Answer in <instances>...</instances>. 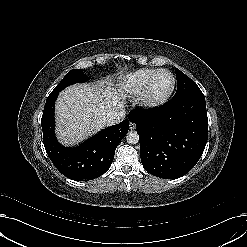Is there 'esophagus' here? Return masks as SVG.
<instances>
[{
  "instance_id": "1",
  "label": "esophagus",
  "mask_w": 247,
  "mask_h": 247,
  "mask_svg": "<svg viewBox=\"0 0 247 247\" xmlns=\"http://www.w3.org/2000/svg\"><path fill=\"white\" fill-rule=\"evenodd\" d=\"M129 128H130L131 130L136 129V124H135L134 122H130Z\"/></svg>"
}]
</instances>
